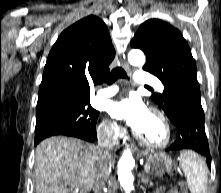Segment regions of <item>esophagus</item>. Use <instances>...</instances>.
<instances>
[{
  "label": "esophagus",
  "instance_id": "esophagus-1",
  "mask_svg": "<svg viewBox=\"0 0 221 193\" xmlns=\"http://www.w3.org/2000/svg\"><path fill=\"white\" fill-rule=\"evenodd\" d=\"M121 65L125 70H130V65L125 60H122Z\"/></svg>",
  "mask_w": 221,
  "mask_h": 193
}]
</instances>
